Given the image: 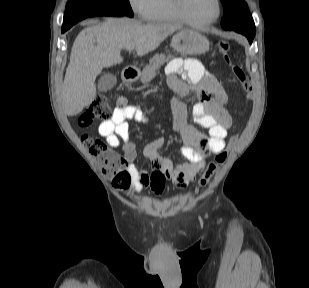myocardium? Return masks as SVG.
<instances>
[{
  "mask_svg": "<svg viewBox=\"0 0 309 288\" xmlns=\"http://www.w3.org/2000/svg\"><path fill=\"white\" fill-rule=\"evenodd\" d=\"M172 2H173V8H174L175 14L178 17V19L182 23H185L194 28H203V27L209 26L215 23L216 21H218V19L221 17V14H222L221 0H215L216 2L215 16L205 21H194L187 16L184 10V0H172Z\"/></svg>",
  "mask_w": 309,
  "mask_h": 288,
  "instance_id": "obj_1",
  "label": "myocardium"
}]
</instances>
